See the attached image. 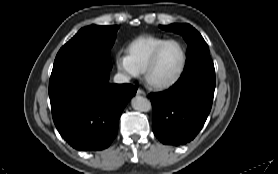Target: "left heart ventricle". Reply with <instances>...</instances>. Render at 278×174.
I'll list each match as a JSON object with an SVG mask.
<instances>
[{"instance_id":"left-heart-ventricle-1","label":"left heart ventricle","mask_w":278,"mask_h":174,"mask_svg":"<svg viewBox=\"0 0 278 174\" xmlns=\"http://www.w3.org/2000/svg\"><path fill=\"white\" fill-rule=\"evenodd\" d=\"M182 62V50L177 43H169L160 51L152 69L151 77L156 81L172 78Z\"/></svg>"}]
</instances>
